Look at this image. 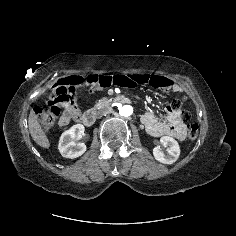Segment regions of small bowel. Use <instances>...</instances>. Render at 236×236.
Here are the masks:
<instances>
[{
    "label": "small bowel",
    "mask_w": 236,
    "mask_h": 236,
    "mask_svg": "<svg viewBox=\"0 0 236 236\" xmlns=\"http://www.w3.org/2000/svg\"><path fill=\"white\" fill-rule=\"evenodd\" d=\"M139 83L150 84L153 87L162 88L167 91H181L180 84L173 80L152 74H128L124 72L106 73L104 75H91L84 79L83 86L88 91L108 90L110 88H128ZM63 112L59 118L60 125H66L70 121H79L81 111L72 102L62 104ZM142 122L152 136H171L177 140H184L187 135V126L181 114L171 106L166 107V120H158L153 112H145Z\"/></svg>",
    "instance_id": "1"
}]
</instances>
